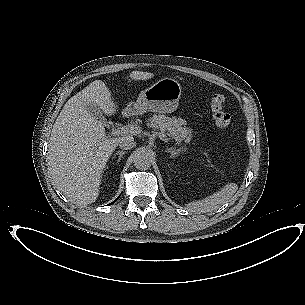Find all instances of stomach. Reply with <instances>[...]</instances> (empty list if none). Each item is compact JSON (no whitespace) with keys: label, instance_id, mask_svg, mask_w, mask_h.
Wrapping results in <instances>:
<instances>
[{"label":"stomach","instance_id":"0dacf381","mask_svg":"<svg viewBox=\"0 0 305 305\" xmlns=\"http://www.w3.org/2000/svg\"><path fill=\"white\" fill-rule=\"evenodd\" d=\"M182 95L183 87L179 81L163 77L142 91L136 106H130L127 110H149L158 114H169L175 111Z\"/></svg>","mask_w":305,"mask_h":305}]
</instances>
